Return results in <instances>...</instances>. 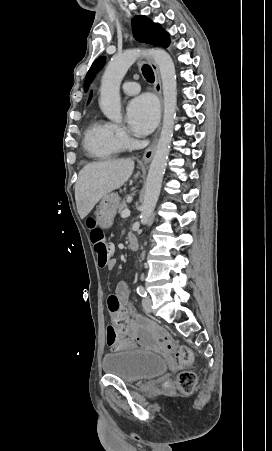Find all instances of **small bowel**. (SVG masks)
<instances>
[{"label": "small bowel", "instance_id": "obj_1", "mask_svg": "<svg viewBox=\"0 0 272 451\" xmlns=\"http://www.w3.org/2000/svg\"><path fill=\"white\" fill-rule=\"evenodd\" d=\"M112 246V245H111ZM113 249V246H112ZM116 259H110L107 268L112 269L116 266ZM129 291L126 283L120 282L115 287L114 293L107 298V307L112 315L125 316L128 319V327L124 332H120L122 339L136 341L141 347L153 350L155 352L162 351L165 342L164 337L169 335L163 328L148 320H140L137 318L129 319Z\"/></svg>", "mask_w": 272, "mask_h": 451}]
</instances>
